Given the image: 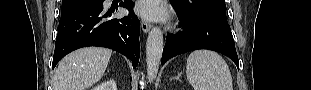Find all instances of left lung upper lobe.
<instances>
[{
    "label": "left lung upper lobe",
    "mask_w": 311,
    "mask_h": 90,
    "mask_svg": "<svg viewBox=\"0 0 311 90\" xmlns=\"http://www.w3.org/2000/svg\"><path fill=\"white\" fill-rule=\"evenodd\" d=\"M170 3L185 17L207 16L227 23L225 0H170Z\"/></svg>",
    "instance_id": "1"
}]
</instances>
